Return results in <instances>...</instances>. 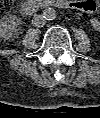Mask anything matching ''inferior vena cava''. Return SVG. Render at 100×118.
Segmentation results:
<instances>
[{"label":"inferior vena cava","mask_w":100,"mask_h":118,"mask_svg":"<svg viewBox=\"0 0 100 118\" xmlns=\"http://www.w3.org/2000/svg\"><path fill=\"white\" fill-rule=\"evenodd\" d=\"M32 24L38 28L43 27L46 24V19L43 15H34L32 19Z\"/></svg>","instance_id":"obj_1"}]
</instances>
